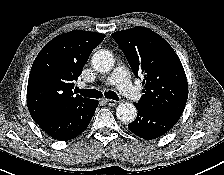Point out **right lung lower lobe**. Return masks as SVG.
Instances as JSON below:
<instances>
[{"instance_id":"right-lung-lower-lobe-1","label":"right lung lower lobe","mask_w":224,"mask_h":175,"mask_svg":"<svg viewBox=\"0 0 224 175\" xmlns=\"http://www.w3.org/2000/svg\"><path fill=\"white\" fill-rule=\"evenodd\" d=\"M97 106L96 100H90L80 105L56 109L35 121L52 138L71 140L88 127Z\"/></svg>"}]
</instances>
